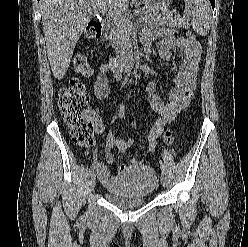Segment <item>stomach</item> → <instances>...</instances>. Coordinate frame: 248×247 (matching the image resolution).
<instances>
[{
    "label": "stomach",
    "instance_id": "obj_1",
    "mask_svg": "<svg viewBox=\"0 0 248 247\" xmlns=\"http://www.w3.org/2000/svg\"><path fill=\"white\" fill-rule=\"evenodd\" d=\"M149 10L165 9L171 0H141Z\"/></svg>",
    "mask_w": 248,
    "mask_h": 247
}]
</instances>
